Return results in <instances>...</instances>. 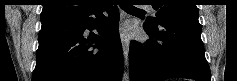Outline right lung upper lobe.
<instances>
[{
	"mask_svg": "<svg viewBox=\"0 0 237 81\" xmlns=\"http://www.w3.org/2000/svg\"><path fill=\"white\" fill-rule=\"evenodd\" d=\"M90 0H44L41 22L80 13L90 6Z\"/></svg>",
	"mask_w": 237,
	"mask_h": 81,
	"instance_id": "1",
	"label": "right lung upper lobe"
}]
</instances>
